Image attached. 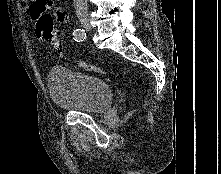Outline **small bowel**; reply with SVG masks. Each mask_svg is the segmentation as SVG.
<instances>
[{
    "label": "small bowel",
    "mask_w": 221,
    "mask_h": 174,
    "mask_svg": "<svg viewBox=\"0 0 221 174\" xmlns=\"http://www.w3.org/2000/svg\"><path fill=\"white\" fill-rule=\"evenodd\" d=\"M31 18L35 23L41 16L49 14L60 24H67L69 20L68 13L57 7L52 0H28Z\"/></svg>",
    "instance_id": "small-bowel-1"
}]
</instances>
